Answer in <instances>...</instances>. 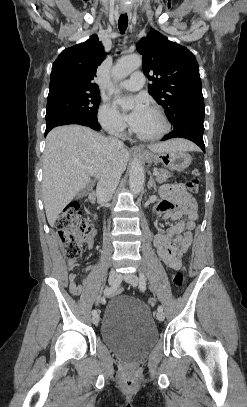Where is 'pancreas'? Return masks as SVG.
<instances>
[{
    "instance_id": "1",
    "label": "pancreas",
    "mask_w": 247,
    "mask_h": 407,
    "mask_svg": "<svg viewBox=\"0 0 247 407\" xmlns=\"http://www.w3.org/2000/svg\"><path fill=\"white\" fill-rule=\"evenodd\" d=\"M155 171H157V169ZM171 176H172V173H170L169 171H167L165 169H159L158 175L156 176V181L158 183H163Z\"/></svg>"
}]
</instances>
